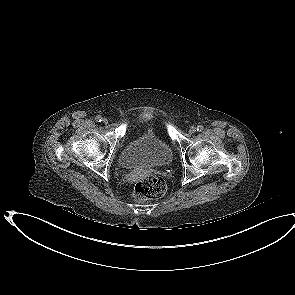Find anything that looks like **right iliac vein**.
<instances>
[{
    "label": "right iliac vein",
    "instance_id": "1",
    "mask_svg": "<svg viewBox=\"0 0 295 295\" xmlns=\"http://www.w3.org/2000/svg\"><path fill=\"white\" fill-rule=\"evenodd\" d=\"M102 121H103L104 124H107L108 123V120L106 118H103Z\"/></svg>",
    "mask_w": 295,
    "mask_h": 295
}]
</instances>
